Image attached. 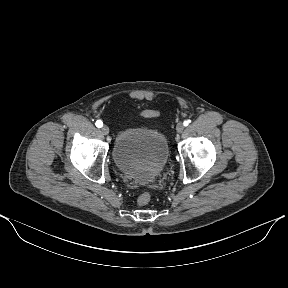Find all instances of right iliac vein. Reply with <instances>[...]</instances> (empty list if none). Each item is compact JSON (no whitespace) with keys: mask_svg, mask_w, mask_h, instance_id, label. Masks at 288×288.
<instances>
[{"mask_svg":"<svg viewBox=\"0 0 288 288\" xmlns=\"http://www.w3.org/2000/svg\"><path fill=\"white\" fill-rule=\"evenodd\" d=\"M101 132L103 135H108L109 134V128L108 126L104 125L102 128H101Z\"/></svg>","mask_w":288,"mask_h":288,"instance_id":"1","label":"right iliac vein"}]
</instances>
